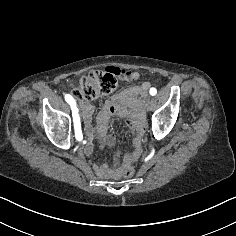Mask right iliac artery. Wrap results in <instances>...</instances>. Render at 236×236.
<instances>
[{
	"label": "right iliac artery",
	"instance_id": "obj_1",
	"mask_svg": "<svg viewBox=\"0 0 236 236\" xmlns=\"http://www.w3.org/2000/svg\"><path fill=\"white\" fill-rule=\"evenodd\" d=\"M65 100L71 106L73 122H74V129H75V137L78 141H81L83 139V135H82V131H81L80 117L78 114V108L76 106V102L70 94L65 95Z\"/></svg>",
	"mask_w": 236,
	"mask_h": 236
}]
</instances>
